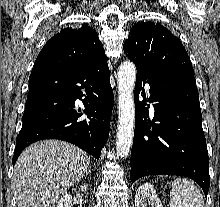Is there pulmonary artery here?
<instances>
[{"mask_svg": "<svg viewBox=\"0 0 220 207\" xmlns=\"http://www.w3.org/2000/svg\"><path fill=\"white\" fill-rule=\"evenodd\" d=\"M147 93L149 94L148 87H147Z\"/></svg>", "mask_w": 220, "mask_h": 207, "instance_id": "1", "label": "pulmonary artery"}]
</instances>
